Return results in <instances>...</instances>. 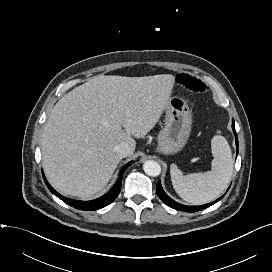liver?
I'll return each instance as SVG.
<instances>
[{"instance_id": "liver-1", "label": "liver", "mask_w": 272, "mask_h": 272, "mask_svg": "<svg viewBox=\"0 0 272 272\" xmlns=\"http://www.w3.org/2000/svg\"><path fill=\"white\" fill-rule=\"evenodd\" d=\"M175 77L99 75L74 88L53 107L41 150L45 174L64 195L90 199L109 182L121 158L114 151L144 137L169 104Z\"/></svg>"}]
</instances>
